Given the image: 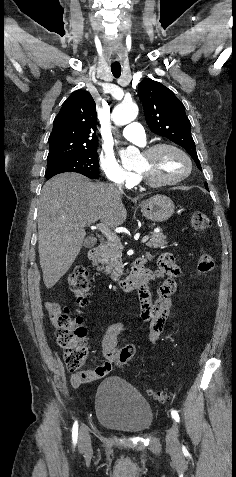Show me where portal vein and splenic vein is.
I'll use <instances>...</instances> for the list:
<instances>
[{
  "label": "portal vein and splenic vein",
  "instance_id": "18ae733b",
  "mask_svg": "<svg viewBox=\"0 0 236 477\" xmlns=\"http://www.w3.org/2000/svg\"><path fill=\"white\" fill-rule=\"evenodd\" d=\"M92 229H97L99 230L101 233H103L105 235V237L110 240V241H117L119 240L118 236L112 232L105 224L103 223H99V224H96L95 226H91ZM149 239V236H144L141 240L142 243H146Z\"/></svg>",
  "mask_w": 236,
  "mask_h": 477
}]
</instances>
